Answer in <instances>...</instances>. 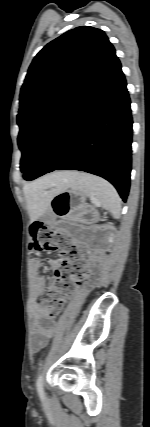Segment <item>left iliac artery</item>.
Wrapping results in <instances>:
<instances>
[{
	"instance_id": "obj_1",
	"label": "left iliac artery",
	"mask_w": 150,
	"mask_h": 427,
	"mask_svg": "<svg viewBox=\"0 0 150 427\" xmlns=\"http://www.w3.org/2000/svg\"><path fill=\"white\" fill-rule=\"evenodd\" d=\"M36 387H37V391H38V394L40 395V397H43L44 396V391H43V377H42L41 374L37 378Z\"/></svg>"
}]
</instances>
